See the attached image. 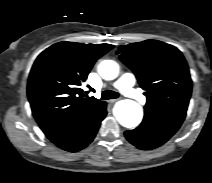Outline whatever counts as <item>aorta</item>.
Segmentation results:
<instances>
[{
  "mask_svg": "<svg viewBox=\"0 0 212 183\" xmlns=\"http://www.w3.org/2000/svg\"><path fill=\"white\" fill-rule=\"evenodd\" d=\"M98 72L103 79L112 80L119 74V65L113 60H104L99 64ZM114 116L122 126L134 128L141 122L143 111L138 103L126 99L116 103Z\"/></svg>",
  "mask_w": 212,
  "mask_h": 183,
  "instance_id": "762f6f07",
  "label": "aorta"
}]
</instances>
